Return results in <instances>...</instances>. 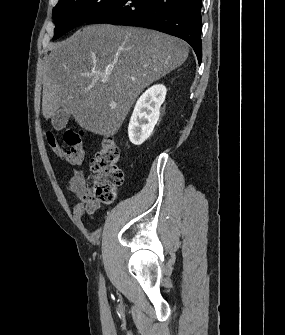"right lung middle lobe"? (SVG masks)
<instances>
[{"instance_id":"right-lung-middle-lobe-1","label":"right lung middle lobe","mask_w":285,"mask_h":335,"mask_svg":"<svg viewBox=\"0 0 285 335\" xmlns=\"http://www.w3.org/2000/svg\"><path fill=\"white\" fill-rule=\"evenodd\" d=\"M118 0H59L53 9L56 27L53 40L85 23Z\"/></svg>"}]
</instances>
